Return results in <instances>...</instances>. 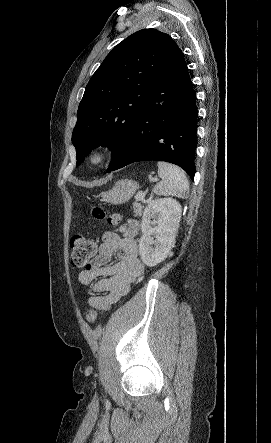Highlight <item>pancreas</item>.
<instances>
[{
    "label": "pancreas",
    "mask_w": 271,
    "mask_h": 443,
    "mask_svg": "<svg viewBox=\"0 0 271 443\" xmlns=\"http://www.w3.org/2000/svg\"><path fill=\"white\" fill-rule=\"evenodd\" d=\"M133 210H134L135 216H142V214H143V206H141V204H137V202H134Z\"/></svg>",
    "instance_id": "obj_1"
}]
</instances>
